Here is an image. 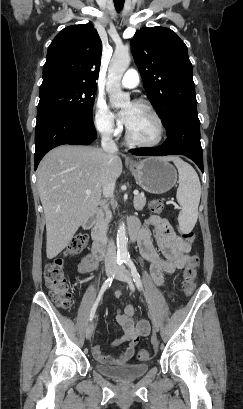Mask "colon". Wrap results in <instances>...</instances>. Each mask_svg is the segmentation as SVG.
<instances>
[{"label":"colon","mask_w":243,"mask_h":409,"mask_svg":"<svg viewBox=\"0 0 243 409\" xmlns=\"http://www.w3.org/2000/svg\"><path fill=\"white\" fill-rule=\"evenodd\" d=\"M163 208L164 204L160 199H154L149 203V209L153 214H160ZM183 237L189 243H193L195 238L192 232L183 233ZM86 243L87 237L85 235L80 234L75 236L71 241L68 253H79L85 247ZM199 264V256L192 255L184 269L183 290L186 295H190L194 290ZM44 280L50 295L57 305L63 309H69L72 304V294L68 289L67 278L63 270V262L61 259H54L45 265ZM150 356V351L147 349H141L138 353V359L141 361L149 360Z\"/></svg>","instance_id":"5ec220e1"}]
</instances>
